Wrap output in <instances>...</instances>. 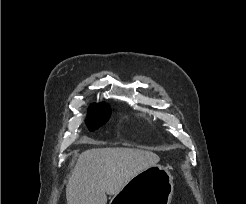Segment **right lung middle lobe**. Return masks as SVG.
<instances>
[{"instance_id":"1","label":"right lung middle lobe","mask_w":246,"mask_h":204,"mask_svg":"<svg viewBox=\"0 0 246 204\" xmlns=\"http://www.w3.org/2000/svg\"><path fill=\"white\" fill-rule=\"evenodd\" d=\"M90 111L91 114L86 120L90 131L102 126L110 116V107L107 104H93Z\"/></svg>"}]
</instances>
